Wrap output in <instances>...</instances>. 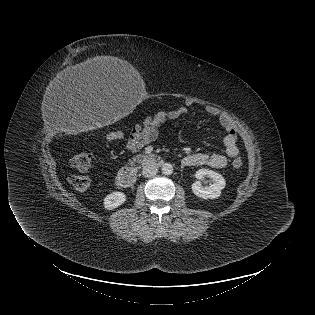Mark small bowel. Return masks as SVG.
I'll use <instances>...</instances> for the list:
<instances>
[{
    "mask_svg": "<svg viewBox=\"0 0 315 315\" xmlns=\"http://www.w3.org/2000/svg\"><path fill=\"white\" fill-rule=\"evenodd\" d=\"M192 105V101H186L185 105L168 112H157L148 116L142 122L138 123L130 132L126 149L129 152H138L145 146L154 142L158 136L161 127L168 121L174 120L188 112V107ZM207 114L218 119L221 126L225 129L226 135L223 142L225 145V154L218 152L210 153H194L185 156L182 160L185 166H201L207 165L213 168H223L227 165L228 158H234L239 154L237 147V131L233 125L230 117L220 109L214 106H207L205 108ZM183 141L190 140V135L186 132L180 134Z\"/></svg>",
    "mask_w": 315,
    "mask_h": 315,
    "instance_id": "c3829d8e",
    "label": "small bowel"
}]
</instances>
